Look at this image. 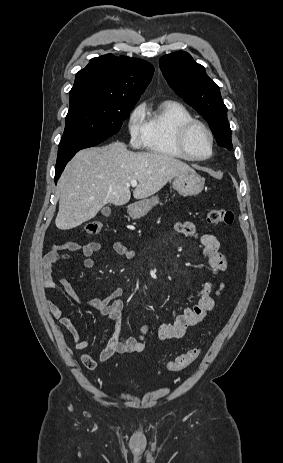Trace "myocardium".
<instances>
[{
	"label": "myocardium",
	"mask_w": 283,
	"mask_h": 463,
	"mask_svg": "<svg viewBox=\"0 0 283 463\" xmlns=\"http://www.w3.org/2000/svg\"><path fill=\"white\" fill-rule=\"evenodd\" d=\"M196 127L202 128L206 132V134L208 135L209 140H210V153H209V155L204 156V157L195 156L194 154H192V152L190 151V149L188 147V136H189L190 132ZM177 146H178L179 150L181 151V153L188 160H191V161H205V160L210 159L213 156L214 152H215L214 134H213L212 130L210 129V127L207 124H205L204 122H202L200 120L193 119V120L185 123L184 125H182L181 128L179 129L178 134H177Z\"/></svg>",
	"instance_id": "myocardium-1"
}]
</instances>
